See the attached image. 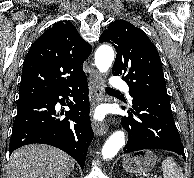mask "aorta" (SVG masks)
Masks as SVG:
<instances>
[{"instance_id": "obj_1", "label": "aorta", "mask_w": 194, "mask_h": 178, "mask_svg": "<svg viewBox=\"0 0 194 178\" xmlns=\"http://www.w3.org/2000/svg\"><path fill=\"white\" fill-rule=\"evenodd\" d=\"M114 60V51L109 45H101L95 53V65L101 73H106ZM125 145L124 131L114 132L102 148L103 159L113 158Z\"/></svg>"}]
</instances>
